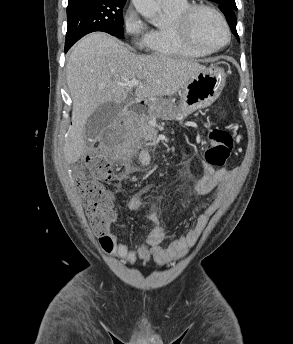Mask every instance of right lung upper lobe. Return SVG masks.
Instances as JSON below:
<instances>
[{"instance_id":"obj_1","label":"right lung upper lobe","mask_w":293,"mask_h":344,"mask_svg":"<svg viewBox=\"0 0 293 344\" xmlns=\"http://www.w3.org/2000/svg\"><path fill=\"white\" fill-rule=\"evenodd\" d=\"M69 1V4H71V3H76V2H79V1H81V0H68ZM126 1V0H125Z\"/></svg>"}]
</instances>
